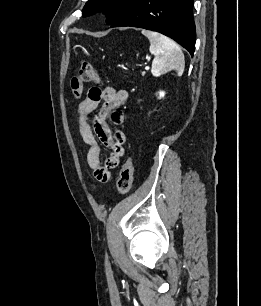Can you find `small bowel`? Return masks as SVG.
Returning a JSON list of instances; mask_svg holds the SVG:
<instances>
[{"instance_id": "c3829d8e", "label": "small bowel", "mask_w": 261, "mask_h": 306, "mask_svg": "<svg viewBox=\"0 0 261 306\" xmlns=\"http://www.w3.org/2000/svg\"><path fill=\"white\" fill-rule=\"evenodd\" d=\"M127 99L128 93L125 90L93 87L78 105L77 124L84 143L88 145L87 162L94 178L100 182L111 180V171L118 166L125 153V134L120 130L111 131L107 119L114 125H121L124 116L120 107ZM100 102L102 104L91 123L90 117ZM99 141L110 151L104 163L100 160Z\"/></svg>"}]
</instances>
